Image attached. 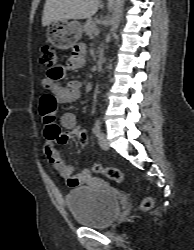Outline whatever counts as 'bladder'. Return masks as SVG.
I'll return each instance as SVG.
<instances>
[{
  "instance_id": "31cf9c89",
  "label": "bladder",
  "mask_w": 194,
  "mask_h": 250,
  "mask_svg": "<svg viewBox=\"0 0 194 250\" xmlns=\"http://www.w3.org/2000/svg\"><path fill=\"white\" fill-rule=\"evenodd\" d=\"M65 201L74 221L84 227H108L121 210V197L117 192L91 186L70 190Z\"/></svg>"
}]
</instances>
